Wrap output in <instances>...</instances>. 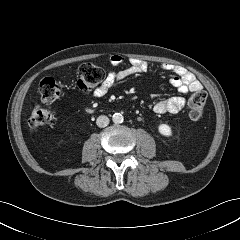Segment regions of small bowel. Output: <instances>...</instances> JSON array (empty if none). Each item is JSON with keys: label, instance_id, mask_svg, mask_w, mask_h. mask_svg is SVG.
Listing matches in <instances>:
<instances>
[{"label": "small bowel", "instance_id": "1", "mask_svg": "<svg viewBox=\"0 0 240 240\" xmlns=\"http://www.w3.org/2000/svg\"><path fill=\"white\" fill-rule=\"evenodd\" d=\"M109 62L112 66H121L127 64L124 69L109 71L105 76L103 82L94 90L95 97L104 96L109 89L118 81L124 80L130 76L144 74L149 70V64L146 61L139 59H127L122 55L114 54L110 57ZM162 70L171 72L173 75L170 79L171 85L180 93L195 92L201 89L200 82L193 74L184 68L171 64L163 63ZM186 105L185 98L181 96H174L167 99H162L155 103L153 111L156 114L177 113L181 111Z\"/></svg>", "mask_w": 240, "mask_h": 240}]
</instances>
